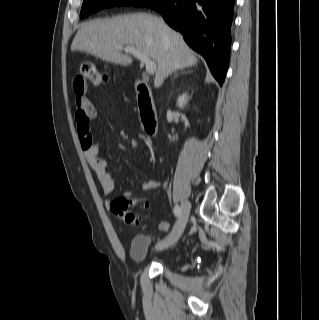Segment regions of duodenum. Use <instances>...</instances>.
Here are the masks:
<instances>
[{"label": "duodenum", "instance_id": "1", "mask_svg": "<svg viewBox=\"0 0 319 320\" xmlns=\"http://www.w3.org/2000/svg\"><path fill=\"white\" fill-rule=\"evenodd\" d=\"M135 88L143 127L149 136H154L157 132V120L152 102L151 89L147 83L141 80L136 81Z\"/></svg>", "mask_w": 319, "mask_h": 320}]
</instances>
